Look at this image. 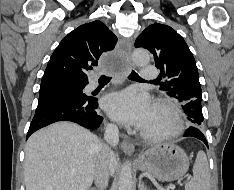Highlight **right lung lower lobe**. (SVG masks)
Listing matches in <instances>:
<instances>
[{
	"mask_svg": "<svg viewBox=\"0 0 234 190\" xmlns=\"http://www.w3.org/2000/svg\"><path fill=\"white\" fill-rule=\"evenodd\" d=\"M82 86L88 84V79L71 81ZM97 99L76 95L70 91H56L38 101L35 116L30 124L27 138L51 123L57 121H72L88 129H97L103 118L97 114Z\"/></svg>",
	"mask_w": 234,
	"mask_h": 190,
	"instance_id": "1",
	"label": "right lung lower lobe"
}]
</instances>
